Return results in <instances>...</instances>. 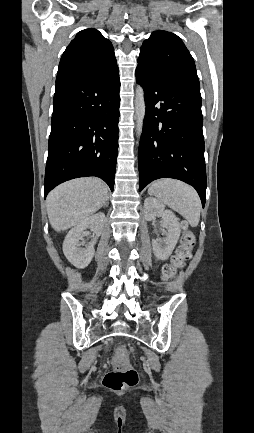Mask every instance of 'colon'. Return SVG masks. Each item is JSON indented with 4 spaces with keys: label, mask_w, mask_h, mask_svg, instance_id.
I'll return each instance as SVG.
<instances>
[{
    "label": "colon",
    "mask_w": 254,
    "mask_h": 433,
    "mask_svg": "<svg viewBox=\"0 0 254 433\" xmlns=\"http://www.w3.org/2000/svg\"><path fill=\"white\" fill-rule=\"evenodd\" d=\"M182 226L184 231L180 243L170 261L162 268V276L166 281H172L177 271L188 262L196 244L195 234L187 228L186 223H183ZM125 354V350L120 349L113 369L103 377V385L109 390L124 391L134 387L138 382L137 371L123 361Z\"/></svg>",
    "instance_id": "5ec220e1"
}]
</instances>
